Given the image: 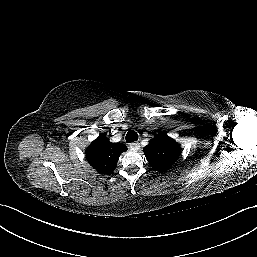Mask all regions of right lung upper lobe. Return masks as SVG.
Wrapping results in <instances>:
<instances>
[{"mask_svg":"<svg viewBox=\"0 0 257 257\" xmlns=\"http://www.w3.org/2000/svg\"><path fill=\"white\" fill-rule=\"evenodd\" d=\"M127 148L123 143H111L104 135H99L86 149L88 163L101 174L112 173L119 156Z\"/></svg>","mask_w":257,"mask_h":257,"instance_id":"cb5924a9","label":"right lung upper lobe"}]
</instances>
